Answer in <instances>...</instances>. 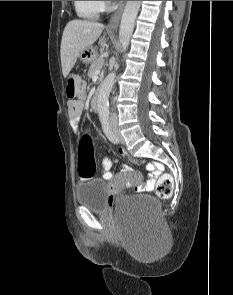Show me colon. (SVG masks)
Instances as JSON below:
<instances>
[{"label": "colon", "instance_id": "obj_1", "mask_svg": "<svg viewBox=\"0 0 233 295\" xmlns=\"http://www.w3.org/2000/svg\"><path fill=\"white\" fill-rule=\"evenodd\" d=\"M66 95L71 100L82 99L85 96V83L79 75L70 74L66 79ZM96 172L94 148L89 137L82 139L79 146L78 173L82 178L93 177ZM173 179L170 175H162L156 186V193L161 199H168L173 192Z\"/></svg>", "mask_w": 233, "mask_h": 295}]
</instances>
